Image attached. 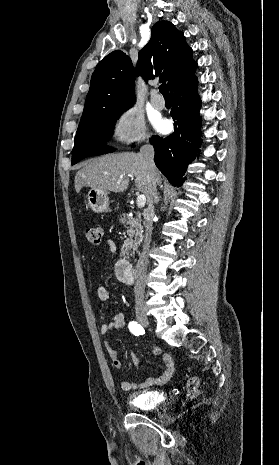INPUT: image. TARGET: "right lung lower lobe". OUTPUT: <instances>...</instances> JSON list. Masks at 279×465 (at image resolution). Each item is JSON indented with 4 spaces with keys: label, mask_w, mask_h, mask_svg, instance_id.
<instances>
[{
    "label": "right lung lower lobe",
    "mask_w": 279,
    "mask_h": 465,
    "mask_svg": "<svg viewBox=\"0 0 279 465\" xmlns=\"http://www.w3.org/2000/svg\"><path fill=\"white\" fill-rule=\"evenodd\" d=\"M174 133L166 138L153 136L154 161L159 170L174 186H181L188 164L195 159L201 146L200 99L197 80L192 77L181 83L172 93Z\"/></svg>",
    "instance_id": "1"
}]
</instances>
